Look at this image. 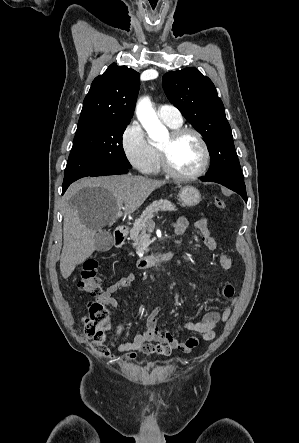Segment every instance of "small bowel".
<instances>
[{"label": "small bowel", "instance_id": "1", "mask_svg": "<svg viewBox=\"0 0 299 443\" xmlns=\"http://www.w3.org/2000/svg\"><path fill=\"white\" fill-rule=\"evenodd\" d=\"M188 227V221L184 217H180L175 226V232L181 235ZM196 229L201 233L202 241L207 249L215 250L217 243L210 233L207 220L200 218L195 222ZM219 264L222 269L230 270L233 266L232 260L225 253L219 255ZM135 280L133 274H129L119 278L116 282L110 284L103 292L99 294L96 302L103 305L117 308L119 306L118 300L114 294L119 290L128 287ZM221 296L230 301V304L224 306L221 311H210L204 315L201 321H184V327L191 332L201 335L204 341H211L216 336V329L221 322H225L232 313V308L236 300L235 289L231 284H224L221 289ZM162 308L155 306L146 318L145 328L136 333L132 341L117 342L113 341L111 346L122 354L125 360H133L136 358L137 352L141 351L146 343H153L149 346L147 351L158 352L168 355L173 350H178L182 353H190L199 345V338L195 336L188 337L184 340L177 339L172 333L162 328L158 322V316ZM85 321V319H84ZM125 324L118 326L116 335L120 336ZM108 355V354H107Z\"/></svg>", "mask_w": 299, "mask_h": 443}]
</instances>
